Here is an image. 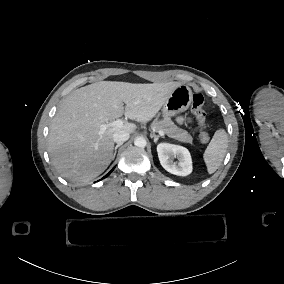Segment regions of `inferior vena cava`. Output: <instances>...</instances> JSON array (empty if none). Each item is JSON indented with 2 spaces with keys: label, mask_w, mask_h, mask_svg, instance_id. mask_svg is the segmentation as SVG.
I'll return each mask as SVG.
<instances>
[{
  "label": "inferior vena cava",
  "mask_w": 284,
  "mask_h": 284,
  "mask_svg": "<svg viewBox=\"0 0 284 284\" xmlns=\"http://www.w3.org/2000/svg\"><path fill=\"white\" fill-rule=\"evenodd\" d=\"M128 139H129V133H127L125 131H119V132L114 133V135H113L114 142H116L118 144H123Z\"/></svg>",
  "instance_id": "obj_1"
}]
</instances>
